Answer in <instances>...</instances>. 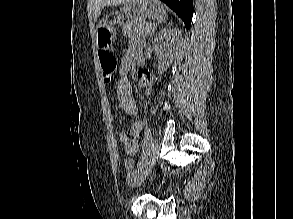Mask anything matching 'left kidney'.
Returning <instances> with one entry per match:
<instances>
[{"label":"left kidney","instance_id":"5707ae66","mask_svg":"<svg viewBox=\"0 0 293 219\" xmlns=\"http://www.w3.org/2000/svg\"><path fill=\"white\" fill-rule=\"evenodd\" d=\"M182 33L177 28L162 29L155 37L153 49L158 57V71H166L175 58Z\"/></svg>","mask_w":293,"mask_h":219}]
</instances>
